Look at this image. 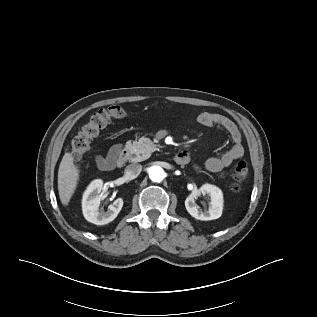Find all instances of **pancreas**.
<instances>
[{
  "label": "pancreas",
  "mask_w": 317,
  "mask_h": 317,
  "mask_svg": "<svg viewBox=\"0 0 317 317\" xmlns=\"http://www.w3.org/2000/svg\"><path fill=\"white\" fill-rule=\"evenodd\" d=\"M126 148L129 151V159L132 162H140L148 159L157 150L156 145L146 137H141L137 141H128Z\"/></svg>",
  "instance_id": "pancreas-1"
}]
</instances>
